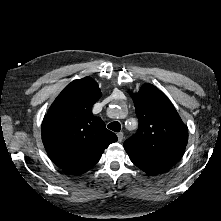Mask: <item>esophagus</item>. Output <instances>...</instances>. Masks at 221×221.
Wrapping results in <instances>:
<instances>
[{
	"label": "esophagus",
	"mask_w": 221,
	"mask_h": 221,
	"mask_svg": "<svg viewBox=\"0 0 221 221\" xmlns=\"http://www.w3.org/2000/svg\"><path fill=\"white\" fill-rule=\"evenodd\" d=\"M117 137H118V142H122V140H123V137H124V134H123V132H119V133H117Z\"/></svg>",
	"instance_id": "1"
}]
</instances>
